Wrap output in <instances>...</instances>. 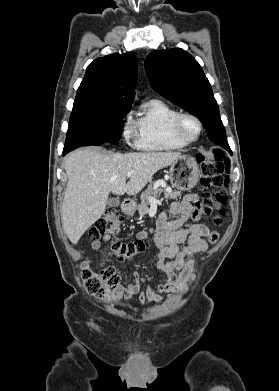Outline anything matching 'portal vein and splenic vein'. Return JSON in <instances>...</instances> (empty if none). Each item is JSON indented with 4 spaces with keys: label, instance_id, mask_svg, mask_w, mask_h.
<instances>
[{
    "label": "portal vein and splenic vein",
    "instance_id": "18ae733b",
    "mask_svg": "<svg viewBox=\"0 0 279 391\" xmlns=\"http://www.w3.org/2000/svg\"><path fill=\"white\" fill-rule=\"evenodd\" d=\"M131 176H132V172L127 173V177H131ZM163 184L164 183L162 181H158V182L155 183V187H158V186L163 185ZM149 201H150V203H154V204L158 203V200L156 198H154V197H149Z\"/></svg>",
    "mask_w": 279,
    "mask_h": 391
}]
</instances>
